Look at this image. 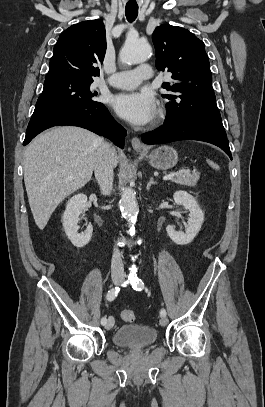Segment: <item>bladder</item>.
<instances>
[{"label":"bladder","mask_w":265,"mask_h":407,"mask_svg":"<svg viewBox=\"0 0 265 407\" xmlns=\"http://www.w3.org/2000/svg\"><path fill=\"white\" fill-rule=\"evenodd\" d=\"M156 340L157 332L154 328L136 324L123 325L113 335L114 344L130 349L146 348Z\"/></svg>","instance_id":"bladder-1"}]
</instances>
